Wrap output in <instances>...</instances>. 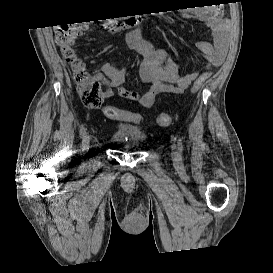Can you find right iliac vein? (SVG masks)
Listing matches in <instances>:
<instances>
[{"mask_svg":"<svg viewBox=\"0 0 273 273\" xmlns=\"http://www.w3.org/2000/svg\"><path fill=\"white\" fill-rule=\"evenodd\" d=\"M90 145V136L88 133H85L82 139V150L86 151L89 149Z\"/></svg>","mask_w":273,"mask_h":273,"instance_id":"obj_1","label":"right iliac vein"}]
</instances>
